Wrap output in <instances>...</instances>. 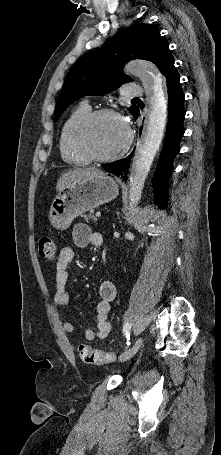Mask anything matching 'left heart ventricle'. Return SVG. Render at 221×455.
<instances>
[{
  "label": "left heart ventricle",
  "instance_id": "1",
  "mask_svg": "<svg viewBox=\"0 0 221 455\" xmlns=\"http://www.w3.org/2000/svg\"><path fill=\"white\" fill-rule=\"evenodd\" d=\"M126 140L125 129L115 117L106 116L97 120L90 128L88 144L99 156H107L118 151Z\"/></svg>",
  "mask_w": 221,
  "mask_h": 455
}]
</instances>
